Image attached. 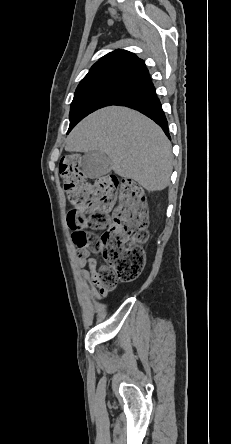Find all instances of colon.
Returning <instances> with one entry per match:
<instances>
[{"label": "colon", "mask_w": 231, "mask_h": 444, "mask_svg": "<svg viewBox=\"0 0 231 444\" xmlns=\"http://www.w3.org/2000/svg\"><path fill=\"white\" fill-rule=\"evenodd\" d=\"M59 172L73 205L69 227L81 234L80 244L88 254H101L106 262L99 273L101 287L109 292L118 282L137 279L145 266L142 244L148 238L147 201L141 187L115 176L88 182L75 154L62 158ZM97 230L105 231L99 236Z\"/></svg>", "instance_id": "5ec220e1"}]
</instances>
